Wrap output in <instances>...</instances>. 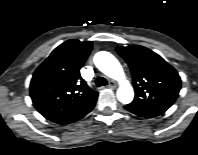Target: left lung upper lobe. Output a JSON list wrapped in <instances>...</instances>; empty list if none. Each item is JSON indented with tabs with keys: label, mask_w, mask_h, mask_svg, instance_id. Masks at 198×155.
Wrapping results in <instances>:
<instances>
[{
	"label": "left lung upper lobe",
	"mask_w": 198,
	"mask_h": 155,
	"mask_svg": "<svg viewBox=\"0 0 198 155\" xmlns=\"http://www.w3.org/2000/svg\"><path fill=\"white\" fill-rule=\"evenodd\" d=\"M119 55L128 63L135 89L129 106L164 113L177 99L181 79L163 58L143 46H118Z\"/></svg>",
	"instance_id": "5c2ea615"
}]
</instances>
